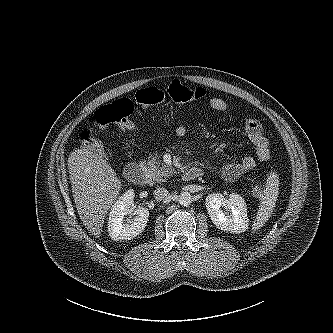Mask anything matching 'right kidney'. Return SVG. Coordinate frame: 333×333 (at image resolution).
Segmentation results:
<instances>
[{
	"instance_id": "1",
	"label": "right kidney",
	"mask_w": 333,
	"mask_h": 333,
	"mask_svg": "<svg viewBox=\"0 0 333 333\" xmlns=\"http://www.w3.org/2000/svg\"><path fill=\"white\" fill-rule=\"evenodd\" d=\"M132 189L126 191L116 203L112 206L108 218V232L112 240H131L143 232L148 222L149 211L147 208L138 207L134 210ZM133 214L134 221L132 224L123 222L124 216Z\"/></svg>"
}]
</instances>
